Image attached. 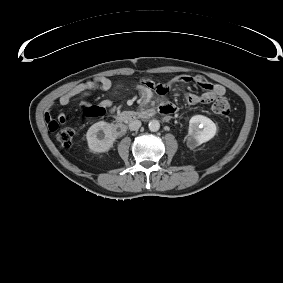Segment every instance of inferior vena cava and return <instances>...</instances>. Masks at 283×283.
<instances>
[{
    "label": "inferior vena cava",
    "mask_w": 283,
    "mask_h": 283,
    "mask_svg": "<svg viewBox=\"0 0 283 283\" xmlns=\"http://www.w3.org/2000/svg\"><path fill=\"white\" fill-rule=\"evenodd\" d=\"M129 129L131 131L138 130L141 127V121L140 120H132L129 122Z\"/></svg>",
    "instance_id": "obj_1"
}]
</instances>
